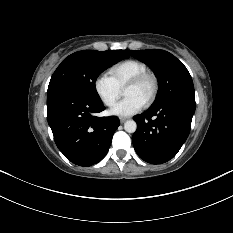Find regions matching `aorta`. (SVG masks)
<instances>
[{
	"instance_id": "obj_1",
	"label": "aorta",
	"mask_w": 233,
	"mask_h": 233,
	"mask_svg": "<svg viewBox=\"0 0 233 233\" xmlns=\"http://www.w3.org/2000/svg\"><path fill=\"white\" fill-rule=\"evenodd\" d=\"M124 129L128 133H134L137 129V124L134 120H127L124 123Z\"/></svg>"
}]
</instances>
